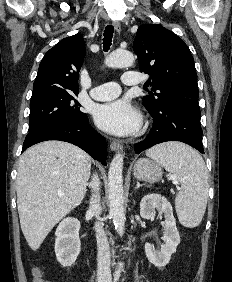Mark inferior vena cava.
Wrapping results in <instances>:
<instances>
[{
  "label": "inferior vena cava",
  "mask_w": 232,
  "mask_h": 282,
  "mask_svg": "<svg viewBox=\"0 0 232 282\" xmlns=\"http://www.w3.org/2000/svg\"><path fill=\"white\" fill-rule=\"evenodd\" d=\"M100 181L97 175H94L92 181L89 184L94 191L90 200L89 212L98 217L101 213L100 205V195L99 191ZM95 232L97 240V278L98 282H111V271H110V248L109 243L106 237V234L103 229L101 222L97 221L95 223Z\"/></svg>",
  "instance_id": "1"
}]
</instances>
